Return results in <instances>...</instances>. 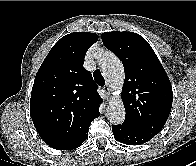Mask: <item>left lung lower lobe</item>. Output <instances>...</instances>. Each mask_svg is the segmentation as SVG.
<instances>
[{
    "label": "left lung lower lobe",
    "instance_id": "0a47b994",
    "mask_svg": "<svg viewBox=\"0 0 196 166\" xmlns=\"http://www.w3.org/2000/svg\"><path fill=\"white\" fill-rule=\"evenodd\" d=\"M112 131L117 141L127 145H139L149 141L155 135L136 130L126 124L113 125Z\"/></svg>",
    "mask_w": 196,
    "mask_h": 166
}]
</instances>
